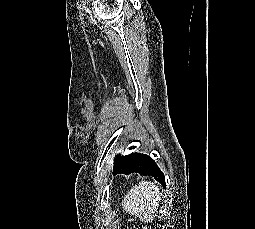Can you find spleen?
I'll return each instance as SVG.
<instances>
[{"instance_id":"1","label":"spleen","mask_w":255,"mask_h":229,"mask_svg":"<svg viewBox=\"0 0 255 229\" xmlns=\"http://www.w3.org/2000/svg\"><path fill=\"white\" fill-rule=\"evenodd\" d=\"M161 200L158 186L151 181H141L125 196L122 207L144 222L152 221Z\"/></svg>"}]
</instances>
